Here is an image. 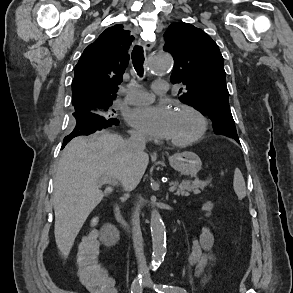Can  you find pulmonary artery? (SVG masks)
Segmentation results:
<instances>
[{
	"mask_svg": "<svg viewBox=\"0 0 293 293\" xmlns=\"http://www.w3.org/2000/svg\"><path fill=\"white\" fill-rule=\"evenodd\" d=\"M153 91L148 92L142 89H128L125 91L124 101L127 104H147L151 102L154 95H164L168 89L169 84L165 80H159L153 83Z\"/></svg>",
	"mask_w": 293,
	"mask_h": 293,
	"instance_id": "e3ab8cb5",
	"label": "pulmonary artery"
}]
</instances>
